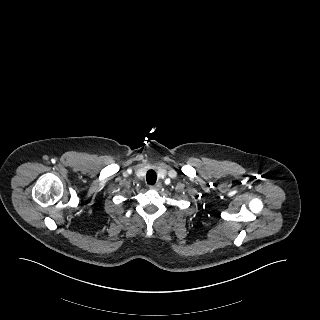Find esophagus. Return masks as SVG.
<instances>
[{
	"label": "esophagus",
	"mask_w": 320,
	"mask_h": 320,
	"mask_svg": "<svg viewBox=\"0 0 320 320\" xmlns=\"http://www.w3.org/2000/svg\"><path fill=\"white\" fill-rule=\"evenodd\" d=\"M161 187L160 183H156L154 185H149V189L151 190H158Z\"/></svg>",
	"instance_id": "34e87169"
}]
</instances>
